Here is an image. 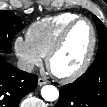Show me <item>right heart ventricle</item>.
I'll return each mask as SVG.
<instances>
[{
  "instance_id": "obj_1",
  "label": "right heart ventricle",
  "mask_w": 107,
  "mask_h": 107,
  "mask_svg": "<svg viewBox=\"0 0 107 107\" xmlns=\"http://www.w3.org/2000/svg\"><path fill=\"white\" fill-rule=\"evenodd\" d=\"M78 15L73 13H61L48 16L32 23L26 32V37L33 47L46 57L63 29Z\"/></svg>"
}]
</instances>
